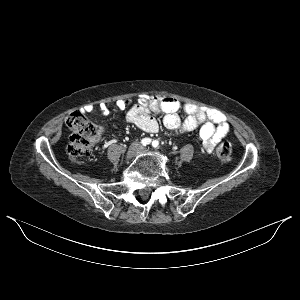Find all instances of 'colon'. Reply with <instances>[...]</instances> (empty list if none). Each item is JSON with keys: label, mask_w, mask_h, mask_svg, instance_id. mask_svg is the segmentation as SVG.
Segmentation results:
<instances>
[{"label": "colon", "mask_w": 300, "mask_h": 300, "mask_svg": "<svg viewBox=\"0 0 300 300\" xmlns=\"http://www.w3.org/2000/svg\"><path fill=\"white\" fill-rule=\"evenodd\" d=\"M66 125L71 130L67 145V154L72 162H78L88 156L97 136V126L87 119L81 112H73L66 118ZM216 154L219 159L228 161L232 156V146L229 142H221Z\"/></svg>", "instance_id": "colon-1"}]
</instances>
